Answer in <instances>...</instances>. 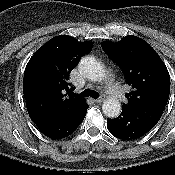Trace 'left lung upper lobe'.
<instances>
[{
    "label": "left lung upper lobe",
    "mask_w": 175,
    "mask_h": 175,
    "mask_svg": "<svg viewBox=\"0 0 175 175\" xmlns=\"http://www.w3.org/2000/svg\"><path fill=\"white\" fill-rule=\"evenodd\" d=\"M107 55L124 71L131 92L126 93L128 102L123 110L148 106L165 108L170 93L168 70L156 51L143 39L126 36L114 43L101 44Z\"/></svg>",
    "instance_id": "left-lung-upper-lobe-1"
}]
</instances>
